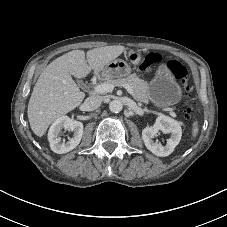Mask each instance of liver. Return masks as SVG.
<instances>
[{"instance_id": "6515ba94", "label": "liver", "mask_w": 227, "mask_h": 227, "mask_svg": "<svg viewBox=\"0 0 227 227\" xmlns=\"http://www.w3.org/2000/svg\"><path fill=\"white\" fill-rule=\"evenodd\" d=\"M125 50L122 45L70 51L52 61L39 76L27 109L31 130L42 137L50 124L80 106L85 93L73 80L100 71ZM86 56V58H85Z\"/></svg>"}]
</instances>
